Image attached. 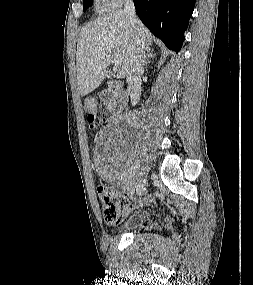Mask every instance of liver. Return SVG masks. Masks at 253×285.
<instances>
[{"mask_svg": "<svg viewBox=\"0 0 253 285\" xmlns=\"http://www.w3.org/2000/svg\"><path fill=\"white\" fill-rule=\"evenodd\" d=\"M144 47L152 39L150 31L141 23ZM135 39L132 27L123 10H116L85 25L79 35L76 51L77 84L81 96L100 85L113 57L121 63L117 77H125Z\"/></svg>", "mask_w": 253, "mask_h": 285, "instance_id": "obj_1", "label": "liver"}]
</instances>
